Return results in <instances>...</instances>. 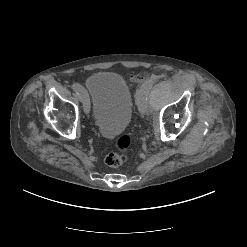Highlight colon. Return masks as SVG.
Listing matches in <instances>:
<instances>
[{
	"label": "colon",
	"instance_id": "colon-1",
	"mask_svg": "<svg viewBox=\"0 0 247 247\" xmlns=\"http://www.w3.org/2000/svg\"><path fill=\"white\" fill-rule=\"evenodd\" d=\"M140 75H132L131 80H140ZM132 143L131 137L129 135L120 136L114 145V148L106 155L105 163L109 167H118L122 165L126 160L127 151Z\"/></svg>",
	"mask_w": 247,
	"mask_h": 247
}]
</instances>
